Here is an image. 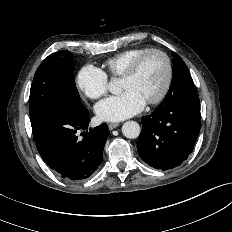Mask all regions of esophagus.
<instances>
[{"label": "esophagus", "instance_id": "1", "mask_svg": "<svg viewBox=\"0 0 232 232\" xmlns=\"http://www.w3.org/2000/svg\"><path fill=\"white\" fill-rule=\"evenodd\" d=\"M118 126H119V123H109V124H108V127H109L110 130L115 129V128L118 127Z\"/></svg>", "mask_w": 232, "mask_h": 232}]
</instances>
